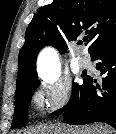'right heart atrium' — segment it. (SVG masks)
I'll return each instance as SVG.
<instances>
[{
	"label": "right heart atrium",
	"instance_id": "1",
	"mask_svg": "<svg viewBox=\"0 0 116 134\" xmlns=\"http://www.w3.org/2000/svg\"><path fill=\"white\" fill-rule=\"evenodd\" d=\"M71 97V85L63 80L45 83L35 94V100L48 112L55 113L63 109Z\"/></svg>",
	"mask_w": 116,
	"mask_h": 134
}]
</instances>
